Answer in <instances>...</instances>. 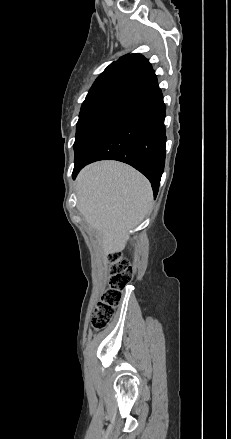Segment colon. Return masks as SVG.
<instances>
[{"label":"colon","instance_id":"obj_1","mask_svg":"<svg viewBox=\"0 0 231 439\" xmlns=\"http://www.w3.org/2000/svg\"><path fill=\"white\" fill-rule=\"evenodd\" d=\"M112 274L109 287L103 293L91 318V324L95 331L104 329L114 316L116 307L120 304L122 293L130 283L133 276L131 265L122 260L119 253L110 255Z\"/></svg>","mask_w":231,"mask_h":439}]
</instances>
